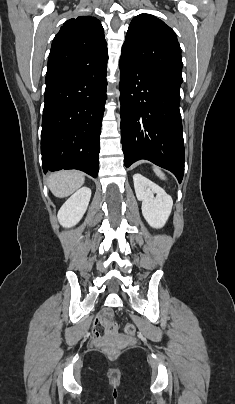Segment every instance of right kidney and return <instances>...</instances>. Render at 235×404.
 <instances>
[{
    "label": "right kidney",
    "instance_id": "obj_1",
    "mask_svg": "<svg viewBox=\"0 0 235 404\" xmlns=\"http://www.w3.org/2000/svg\"><path fill=\"white\" fill-rule=\"evenodd\" d=\"M90 198V188L77 190L60 208L57 215L59 223L68 228L76 225L86 212Z\"/></svg>",
    "mask_w": 235,
    "mask_h": 404
}]
</instances>
